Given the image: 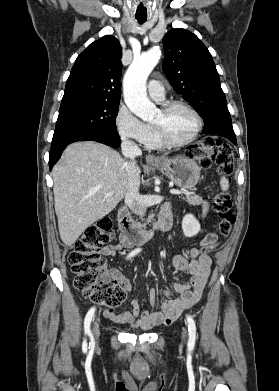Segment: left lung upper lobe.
Here are the masks:
<instances>
[{
  "label": "left lung upper lobe",
  "mask_w": 279,
  "mask_h": 391,
  "mask_svg": "<svg viewBox=\"0 0 279 391\" xmlns=\"http://www.w3.org/2000/svg\"><path fill=\"white\" fill-rule=\"evenodd\" d=\"M163 45V71L174 90L202 116L203 133L235 135L219 75L206 46L181 28L170 30Z\"/></svg>",
  "instance_id": "left-lung-upper-lobe-1"
}]
</instances>
